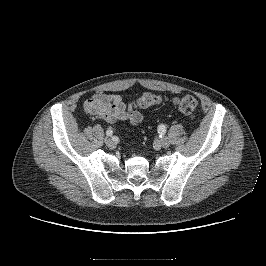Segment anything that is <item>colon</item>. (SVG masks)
Returning <instances> with one entry per match:
<instances>
[{"label": "colon", "mask_w": 266, "mask_h": 266, "mask_svg": "<svg viewBox=\"0 0 266 266\" xmlns=\"http://www.w3.org/2000/svg\"><path fill=\"white\" fill-rule=\"evenodd\" d=\"M162 102V98L154 93H144L138 100V104L141 108H148L158 105ZM174 103L178 109L188 115L192 120L196 118L197 114V101L190 95L182 96L174 99Z\"/></svg>", "instance_id": "colon-1"}]
</instances>
